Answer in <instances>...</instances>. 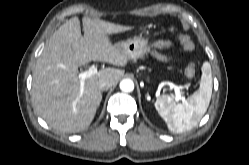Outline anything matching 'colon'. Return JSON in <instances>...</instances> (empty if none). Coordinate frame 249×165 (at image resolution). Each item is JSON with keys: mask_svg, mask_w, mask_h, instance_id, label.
I'll return each mask as SVG.
<instances>
[{"mask_svg": "<svg viewBox=\"0 0 249 165\" xmlns=\"http://www.w3.org/2000/svg\"><path fill=\"white\" fill-rule=\"evenodd\" d=\"M178 38L182 44V46L186 49V50H192L194 48V44L192 42V40L184 35V34H177ZM185 75L188 79H193L196 75V70H195V64L193 62L189 63L185 69Z\"/></svg>", "mask_w": 249, "mask_h": 165, "instance_id": "5ec220e1", "label": "colon"}]
</instances>
